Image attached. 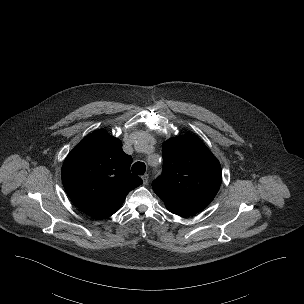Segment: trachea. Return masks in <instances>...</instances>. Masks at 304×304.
<instances>
[{"instance_id":"1","label":"trachea","mask_w":304,"mask_h":304,"mask_svg":"<svg viewBox=\"0 0 304 304\" xmlns=\"http://www.w3.org/2000/svg\"><path fill=\"white\" fill-rule=\"evenodd\" d=\"M132 172L137 175H143L146 171V166L143 162H136L131 168Z\"/></svg>"}]
</instances>
